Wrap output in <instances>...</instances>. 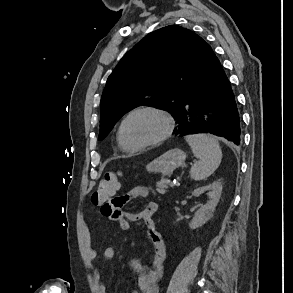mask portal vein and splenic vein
<instances>
[{"mask_svg":"<svg viewBox=\"0 0 293 293\" xmlns=\"http://www.w3.org/2000/svg\"><path fill=\"white\" fill-rule=\"evenodd\" d=\"M176 185H177L176 182H172V183L170 184L171 187H174V186H176Z\"/></svg>","mask_w":293,"mask_h":293,"instance_id":"portal-vein-and-splenic-vein-1","label":"portal vein and splenic vein"}]
</instances>
